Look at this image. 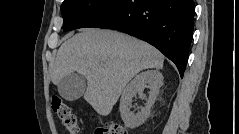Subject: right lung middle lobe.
<instances>
[{"label": "right lung middle lobe", "instance_id": "1", "mask_svg": "<svg viewBox=\"0 0 239 134\" xmlns=\"http://www.w3.org/2000/svg\"><path fill=\"white\" fill-rule=\"evenodd\" d=\"M116 0H64L61 5L64 31L83 27L90 19Z\"/></svg>", "mask_w": 239, "mask_h": 134}]
</instances>
